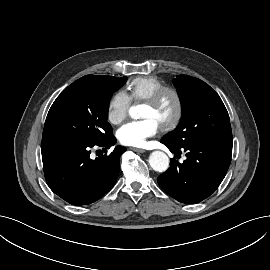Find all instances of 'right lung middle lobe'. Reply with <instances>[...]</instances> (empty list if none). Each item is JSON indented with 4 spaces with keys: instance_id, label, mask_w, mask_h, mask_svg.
Instances as JSON below:
<instances>
[{
    "instance_id": "right-lung-middle-lobe-1",
    "label": "right lung middle lobe",
    "mask_w": 270,
    "mask_h": 270,
    "mask_svg": "<svg viewBox=\"0 0 270 270\" xmlns=\"http://www.w3.org/2000/svg\"><path fill=\"white\" fill-rule=\"evenodd\" d=\"M126 77L84 76L69 85L52 104L42 141L64 140L97 145L112 134L107 122L112 94Z\"/></svg>"
}]
</instances>
